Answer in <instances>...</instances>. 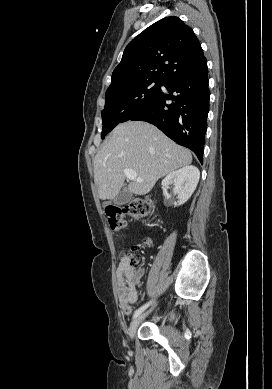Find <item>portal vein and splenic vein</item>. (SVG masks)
I'll use <instances>...</instances> for the list:
<instances>
[{"label": "portal vein and splenic vein", "instance_id": "18ae733b", "mask_svg": "<svg viewBox=\"0 0 272 389\" xmlns=\"http://www.w3.org/2000/svg\"><path fill=\"white\" fill-rule=\"evenodd\" d=\"M124 174H125V176L128 178V179H130V180H136V181H138V182H142L143 181V179L142 178H139V177H137V174H136V172L134 171V170H131V169H125L124 170Z\"/></svg>", "mask_w": 272, "mask_h": 389}]
</instances>
